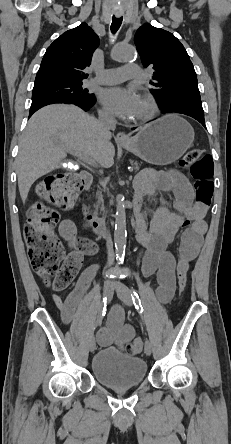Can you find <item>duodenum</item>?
<instances>
[{"label":"duodenum","instance_id":"410a0bca","mask_svg":"<svg viewBox=\"0 0 231 444\" xmlns=\"http://www.w3.org/2000/svg\"><path fill=\"white\" fill-rule=\"evenodd\" d=\"M81 179L86 187L90 186L92 183V177L88 172H83L81 174ZM84 216H85V223L90 228L93 234L103 237L107 236L105 233L108 231L107 229L110 227V222L108 223L104 218L93 217L88 211L84 213ZM131 217L133 222L135 223V226H137L138 223L142 220V215L138 211L137 207L133 209Z\"/></svg>","mask_w":231,"mask_h":444}]
</instances>
